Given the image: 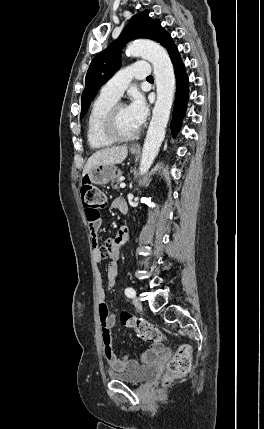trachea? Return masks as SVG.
<instances>
[{"label":"trachea","mask_w":264,"mask_h":429,"mask_svg":"<svg viewBox=\"0 0 264 429\" xmlns=\"http://www.w3.org/2000/svg\"><path fill=\"white\" fill-rule=\"evenodd\" d=\"M152 79L153 77L151 75L147 77V80H152Z\"/></svg>","instance_id":"obj_1"}]
</instances>
